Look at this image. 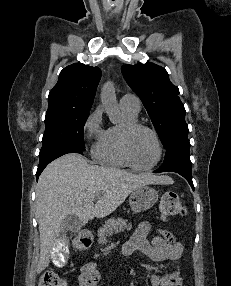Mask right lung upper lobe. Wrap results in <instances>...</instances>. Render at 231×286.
Here are the masks:
<instances>
[{
  "mask_svg": "<svg viewBox=\"0 0 231 286\" xmlns=\"http://www.w3.org/2000/svg\"><path fill=\"white\" fill-rule=\"evenodd\" d=\"M100 78L98 67L81 63L67 66L49 93L48 108L90 109Z\"/></svg>",
  "mask_w": 231,
  "mask_h": 286,
  "instance_id": "cb5924a9",
  "label": "right lung upper lobe"
}]
</instances>
